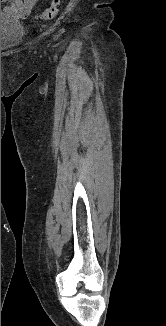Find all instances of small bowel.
Listing matches in <instances>:
<instances>
[{
  "label": "small bowel",
  "instance_id": "c3829d8e",
  "mask_svg": "<svg viewBox=\"0 0 166 326\" xmlns=\"http://www.w3.org/2000/svg\"><path fill=\"white\" fill-rule=\"evenodd\" d=\"M38 0H1V3H7L4 11L10 13L18 19H23L28 16L34 8Z\"/></svg>",
  "mask_w": 166,
  "mask_h": 326
}]
</instances>
